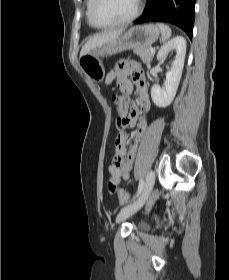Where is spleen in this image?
<instances>
[{
  "label": "spleen",
  "instance_id": "3e777b00",
  "mask_svg": "<svg viewBox=\"0 0 229 280\" xmlns=\"http://www.w3.org/2000/svg\"><path fill=\"white\" fill-rule=\"evenodd\" d=\"M157 25H158V27H159V29L161 31V34H162V38L161 39H162V42L164 43V42H166L170 38V36H171V29H170L169 26H167V25H165L163 23H158Z\"/></svg>",
  "mask_w": 229,
  "mask_h": 280
}]
</instances>
